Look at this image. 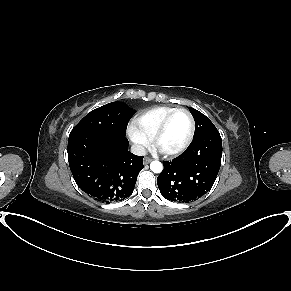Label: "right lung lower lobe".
Returning <instances> with one entry per match:
<instances>
[{
    "label": "right lung lower lobe",
    "instance_id": "98d812e1",
    "mask_svg": "<svg viewBox=\"0 0 291 291\" xmlns=\"http://www.w3.org/2000/svg\"><path fill=\"white\" fill-rule=\"evenodd\" d=\"M68 162L77 185L102 203L121 201L134 190L143 157L128 151L125 135L81 133L69 136Z\"/></svg>",
    "mask_w": 291,
    "mask_h": 291
}]
</instances>
